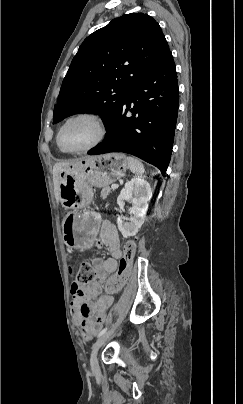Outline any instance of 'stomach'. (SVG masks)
<instances>
[{
  "label": "stomach",
  "instance_id": "0dacf381",
  "mask_svg": "<svg viewBox=\"0 0 243 404\" xmlns=\"http://www.w3.org/2000/svg\"><path fill=\"white\" fill-rule=\"evenodd\" d=\"M128 167L124 155L108 153L82 158L60 170V201L71 210L63 221L67 246L75 249L91 246L101 221L100 215L89 207L92 187H107L122 178Z\"/></svg>",
  "mask_w": 243,
  "mask_h": 404
}]
</instances>
